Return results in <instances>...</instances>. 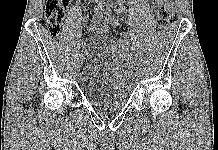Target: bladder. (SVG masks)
Returning a JSON list of instances; mask_svg holds the SVG:
<instances>
[{"mask_svg":"<svg viewBox=\"0 0 218 150\" xmlns=\"http://www.w3.org/2000/svg\"><path fill=\"white\" fill-rule=\"evenodd\" d=\"M85 52L79 75L83 94L99 108H122L130 97L132 86L125 76L117 44L105 37H94Z\"/></svg>","mask_w":218,"mask_h":150,"instance_id":"obj_1","label":"bladder"}]
</instances>
